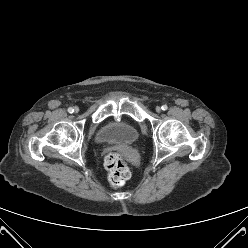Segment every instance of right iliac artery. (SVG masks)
<instances>
[{
  "mask_svg": "<svg viewBox=\"0 0 248 248\" xmlns=\"http://www.w3.org/2000/svg\"><path fill=\"white\" fill-rule=\"evenodd\" d=\"M68 112L69 113H73L74 112V109L72 107L68 108Z\"/></svg>",
  "mask_w": 248,
  "mask_h": 248,
  "instance_id": "obj_1",
  "label": "right iliac artery"
}]
</instances>
